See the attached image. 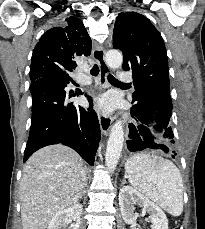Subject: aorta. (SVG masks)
Wrapping results in <instances>:
<instances>
[{"label":"aorta","mask_w":205,"mask_h":229,"mask_svg":"<svg viewBox=\"0 0 205 229\" xmlns=\"http://www.w3.org/2000/svg\"><path fill=\"white\" fill-rule=\"evenodd\" d=\"M105 61L111 69H117L122 65L123 56L118 50H109L105 55ZM124 131L122 121H116L111 127L105 153V164L109 170H115L123 148Z\"/></svg>","instance_id":"aorta-1"}]
</instances>
